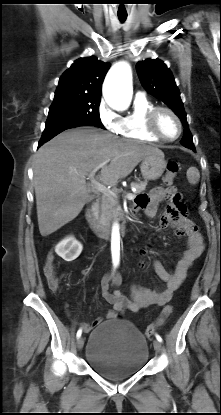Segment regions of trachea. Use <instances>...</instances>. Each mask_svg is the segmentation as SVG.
<instances>
[{
  "instance_id": "trachea-1",
  "label": "trachea",
  "mask_w": 221,
  "mask_h": 415,
  "mask_svg": "<svg viewBox=\"0 0 221 415\" xmlns=\"http://www.w3.org/2000/svg\"><path fill=\"white\" fill-rule=\"evenodd\" d=\"M118 18L121 22H124L127 18V15H118Z\"/></svg>"
}]
</instances>
